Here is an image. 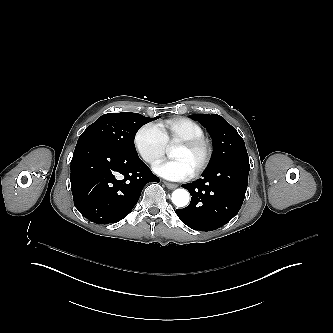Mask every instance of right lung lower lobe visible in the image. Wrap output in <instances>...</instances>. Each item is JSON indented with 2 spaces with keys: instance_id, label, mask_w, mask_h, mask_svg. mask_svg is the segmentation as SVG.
I'll use <instances>...</instances> for the list:
<instances>
[{
  "instance_id": "98d812e1",
  "label": "right lung lower lobe",
  "mask_w": 333,
  "mask_h": 333,
  "mask_svg": "<svg viewBox=\"0 0 333 333\" xmlns=\"http://www.w3.org/2000/svg\"><path fill=\"white\" fill-rule=\"evenodd\" d=\"M74 205L97 224L115 223L126 217L139 200L143 187L159 182L137 156L120 154L105 144L77 143L71 160Z\"/></svg>"
}]
</instances>
